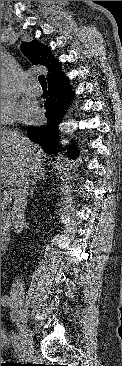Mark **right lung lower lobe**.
I'll return each instance as SVG.
<instances>
[{
  "mask_svg": "<svg viewBox=\"0 0 122 366\" xmlns=\"http://www.w3.org/2000/svg\"><path fill=\"white\" fill-rule=\"evenodd\" d=\"M65 76L55 82L49 83V97L46 99L45 107L47 109L45 116L47 122L40 126H29L27 128V136L39 143L45 152L56 156L58 152L65 149L59 144V130L58 125L63 119L65 110L69 107L71 92L69 85L65 80ZM74 143L69 145L67 151H69V157H74L78 154L76 151H71L74 147Z\"/></svg>",
  "mask_w": 122,
  "mask_h": 366,
  "instance_id": "98d812e1",
  "label": "right lung lower lobe"
}]
</instances>
